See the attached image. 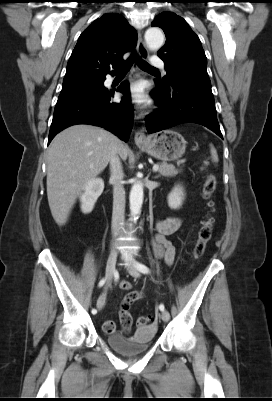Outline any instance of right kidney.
Wrapping results in <instances>:
<instances>
[{
    "instance_id": "obj_1",
    "label": "right kidney",
    "mask_w": 272,
    "mask_h": 401,
    "mask_svg": "<svg viewBox=\"0 0 272 401\" xmlns=\"http://www.w3.org/2000/svg\"><path fill=\"white\" fill-rule=\"evenodd\" d=\"M84 192L80 196L81 210L84 214L90 213L104 190V181L101 178L89 180L83 187Z\"/></svg>"
}]
</instances>
